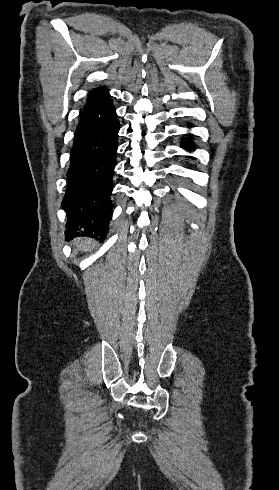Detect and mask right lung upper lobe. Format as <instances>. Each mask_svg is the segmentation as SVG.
Instances as JSON below:
<instances>
[{
  "mask_svg": "<svg viewBox=\"0 0 279 490\" xmlns=\"http://www.w3.org/2000/svg\"><path fill=\"white\" fill-rule=\"evenodd\" d=\"M107 92L108 89L102 87L93 89L88 94L74 140L97 133L118 120Z\"/></svg>",
  "mask_w": 279,
  "mask_h": 490,
  "instance_id": "1",
  "label": "right lung upper lobe"
}]
</instances>
